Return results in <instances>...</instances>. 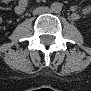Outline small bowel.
Returning a JSON list of instances; mask_svg holds the SVG:
<instances>
[{
	"mask_svg": "<svg viewBox=\"0 0 91 91\" xmlns=\"http://www.w3.org/2000/svg\"><path fill=\"white\" fill-rule=\"evenodd\" d=\"M26 7H27V1L26 0H20L16 7H15V11L18 13V14H22L24 13V11L26 10ZM74 15H78V11L77 10H74Z\"/></svg>",
	"mask_w": 91,
	"mask_h": 91,
	"instance_id": "small-bowel-1",
	"label": "small bowel"
}]
</instances>
